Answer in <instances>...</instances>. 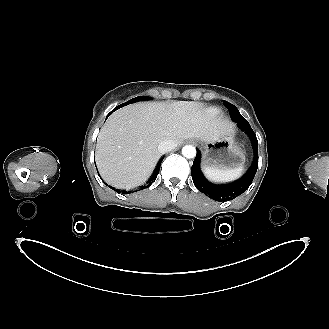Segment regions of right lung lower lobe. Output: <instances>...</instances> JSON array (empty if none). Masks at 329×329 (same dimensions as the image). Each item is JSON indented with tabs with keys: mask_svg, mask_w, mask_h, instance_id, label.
Returning a JSON list of instances; mask_svg holds the SVG:
<instances>
[{
	"mask_svg": "<svg viewBox=\"0 0 329 329\" xmlns=\"http://www.w3.org/2000/svg\"><path fill=\"white\" fill-rule=\"evenodd\" d=\"M115 110H117L116 108L115 109H113L109 114H108V116L112 113V112H114ZM107 116V117H108ZM161 162H162V158L159 160V162H158V164H157V166H156V168H155V170H154V172H153V174H152V176H151V178L148 180V182H147V184H148V186L157 178V175H158V173H159V170H160V165H161ZM118 192V191H117ZM120 192V191H119Z\"/></svg>",
	"mask_w": 329,
	"mask_h": 329,
	"instance_id": "right-lung-lower-lobe-1",
	"label": "right lung lower lobe"
}]
</instances>
